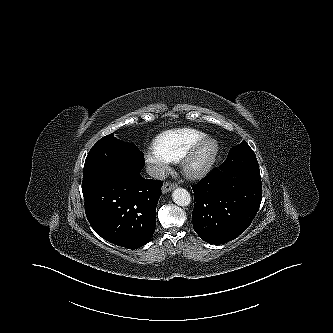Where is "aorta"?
Returning a JSON list of instances; mask_svg holds the SVG:
<instances>
[{"mask_svg": "<svg viewBox=\"0 0 333 333\" xmlns=\"http://www.w3.org/2000/svg\"><path fill=\"white\" fill-rule=\"evenodd\" d=\"M173 201L179 206H188L191 202L189 192L184 188H176L172 193Z\"/></svg>", "mask_w": 333, "mask_h": 333, "instance_id": "aorta-1", "label": "aorta"}]
</instances>
